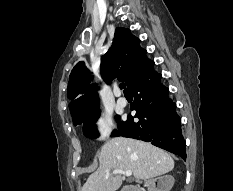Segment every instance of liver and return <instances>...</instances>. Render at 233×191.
Masks as SVG:
<instances>
[{"label":"liver","instance_id":"obj_1","mask_svg":"<svg viewBox=\"0 0 233 191\" xmlns=\"http://www.w3.org/2000/svg\"><path fill=\"white\" fill-rule=\"evenodd\" d=\"M99 168L92 173L81 191H116L122 185V176L112 170H131L134 177L146 180L170 172L174 160L164 150L150 143L131 139L113 138L106 142L98 155Z\"/></svg>","mask_w":233,"mask_h":191}]
</instances>
